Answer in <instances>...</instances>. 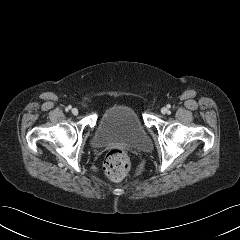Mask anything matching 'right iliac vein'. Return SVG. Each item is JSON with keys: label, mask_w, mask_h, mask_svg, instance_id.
<instances>
[{"label": "right iliac vein", "mask_w": 240, "mask_h": 240, "mask_svg": "<svg viewBox=\"0 0 240 240\" xmlns=\"http://www.w3.org/2000/svg\"><path fill=\"white\" fill-rule=\"evenodd\" d=\"M71 112H72L73 115H77L78 114V109L77 108H73L71 110Z\"/></svg>", "instance_id": "63e3f726"}]
</instances>
